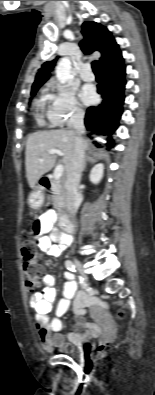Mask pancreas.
Wrapping results in <instances>:
<instances>
[{
    "label": "pancreas",
    "instance_id": "obj_1",
    "mask_svg": "<svg viewBox=\"0 0 155 395\" xmlns=\"http://www.w3.org/2000/svg\"><path fill=\"white\" fill-rule=\"evenodd\" d=\"M51 183H52V188L50 190V193H52V195L50 196V198L53 201V205L56 208L62 209L64 208V197H65L63 184L59 180H55V179L51 180Z\"/></svg>",
    "mask_w": 155,
    "mask_h": 395
}]
</instances>
